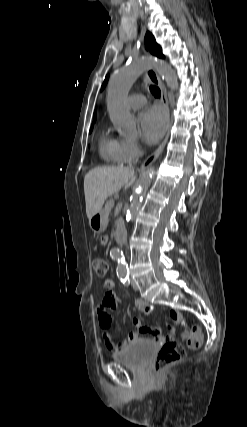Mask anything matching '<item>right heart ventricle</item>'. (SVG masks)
Instances as JSON below:
<instances>
[{
    "label": "right heart ventricle",
    "mask_w": 247,
    "mask_h": 427,
    "mask_svg": "<svg viewBox=\"0 0 247 427\" xmlns=\"http://www.w3.org/2000/svg\"><path fill=\"white\" fill-rule=\"evenodd\" d=\"M99 152L101 157L109 163L120 164L128 161L125 153V140L113 137L106 132L101 136Z\"/></svg>",
    "instance_id": "e07e8e85"
}]
</instances>
